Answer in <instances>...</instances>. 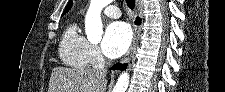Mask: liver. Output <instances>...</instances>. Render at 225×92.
<instances>
[{
	"mask_svg": "<svg viewBox=\"0 0 225 92\" xmlns=\"http://www.w3.org/2000/svg\"><path fill=\"white\" fill-rule=\"evenodd\" d=\"M106 71L55 67L48 92H105Z\"/></svg>",
	"mask_w": 225,
	"mask_h": 92,
	"instance_id": "1",
	"label": "liver"
}]
</instances>
